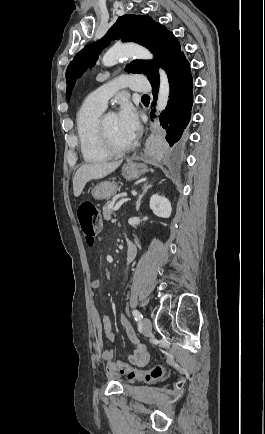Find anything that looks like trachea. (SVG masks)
<instances>
[{
    "label": "trachea",
    "instance_id": "obj_1",
    "mask_svg": "<svg viewBox=\"0 0 265 434\" xmlns=\"http://www.w3.org/2000/svg\"><path fill=\"white\" fill-rule=\"evenodd\" d=\"M144 98H149V97H148V96H145V95H143L142 99H144Z\"/></svg>",
    "mask_w": 265,
    "mask_h": 434
}]
</instances>
